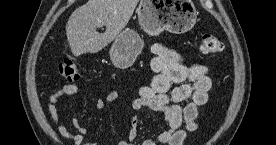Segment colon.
Listing matches in <instances>:
<instances>
[{
  "label": "colon",
  "instance_id": "1",
  "mask_svg": "<svg viewBox=\"0 0 276 145\" xmlns=\"http://www.w3.org/2000/svg\"><path fill=\"white\" fill-rule=\"evenodd\" d=\"M200 49L206 55H216L222 51L223 45L215 36L204 34L200 40ZM59 73L69 81H78L80 79V73L74 62L70 59L64 60L59 65Z\"/></svg>",
  "mask_w": 276,
  "mask_h": 145
}]
</instances>
